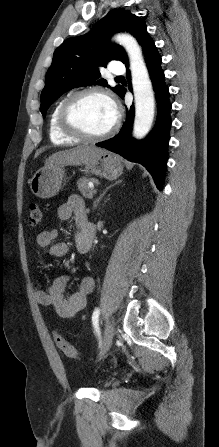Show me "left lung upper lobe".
Returning a JSON list of instances; mask_svg holds the SVG:
<instances>
[{
    "instance_id": "5c2ea615",
    "label": "left lung upper lobe",
    "mask_w": 219,
    "mask_h": 447,
    "mask_svg": "<svg viewBox=\"0 0 219 447\" xmlns=\"http://www.w3.org/2000/svg\"><path fill=\"white\" fill-rule=\"evenodd\" d=\"M122 31L131 33L139 44L149 35L140 17L126 10L114 9L87 34L67 39L55 50L41 93L40 111L43 117L53 101L75 87L94 83L109 87L105 79H100V67H106L111 60H120L124 64L128 62L123 47L112 44L108 39ZM111 89L121 96L125 88L117 85Z\"/></svg>"
}]
</instances>
